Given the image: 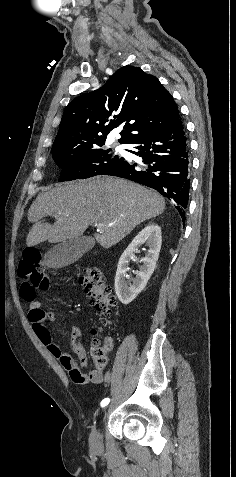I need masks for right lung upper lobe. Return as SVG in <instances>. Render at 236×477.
<instances>
[{
  "instance_id": "cb5924a9",
  "label": "right lung upper lobe",
  "mask_w": 236,
  "mask_h": 477,
  "mask_svg": "<svg viewBox=\"0 0 236 477\" xmlns=\"http://www.w3.org/2000/svg\"><path fill=\"white\" fill-rule=\"evenodd\" d=\"M178 114L171 94L156 77L138 67L125 66L101 88L82 94L67 105L52 155L100 148L118 126L124 129L118 141L129 144L166 128Z\"/></svg>"
}]
</instances>
